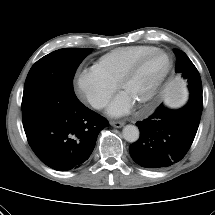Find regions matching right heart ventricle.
I'll return each mask as SVG.
<instances>
[{"mask_svg": "<svg viewBox=\"0 0 215 215\" xmlns=\"http://www.w3.org/2000/svg\"><path fill=\"white\" fill-rule=\"evenodd\" d=\"M155 49L147 45L116 48L101 56L94 67L109 81L118 84L129 66L143 54Z\"/></svg>", "mask_w": 215, "mask_h": 215, "instance_id": "obj_1", "label": "right heart ventricle"}]
</instances>
